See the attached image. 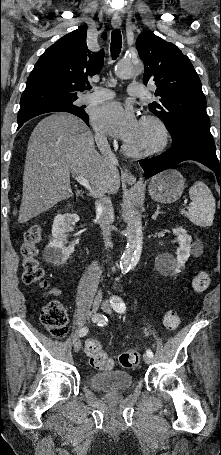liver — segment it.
Listing matches in <instances>:
<instances>
[{
  "mask_svg": "<svg viewBox=\"0 0 221 455\" xmlns=\"http://www.w3.org/2000/svg\"><path fill=\"white\" fill-rule=\"evenodd\" d=\"M70 173L84 177L94 195L116 194L120 187L118 170L97 152L86 124L72 114L54 113L36 125L28 142L18 222L71 197Z\"/></svg>",
  "mask_w": 221,
  "mask_h": 455,
  "instance_id": "liver-1",
  "label": "liver"
}]
</instances>
